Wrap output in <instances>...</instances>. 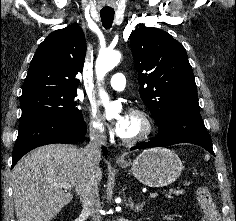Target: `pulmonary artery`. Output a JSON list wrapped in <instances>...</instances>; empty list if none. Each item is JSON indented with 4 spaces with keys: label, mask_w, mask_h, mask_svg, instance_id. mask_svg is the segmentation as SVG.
<instances>
[{
    "label": "pulmonary artery",
    "mask_w": 236,
    "mask_h": 221,
    "mask_svg": "<svg viewBox=\"0 0 236 221\" xmlns=\"http://www.w3.org/2000/svg\"><path fill=\"white\" fill-rule=\"evenodd\" d=\"M126 85V78L123 73H115L109 80V86L116 91H123Z\"/></svg>",
    "instance_id": "obj_1"
}]
</instances>
